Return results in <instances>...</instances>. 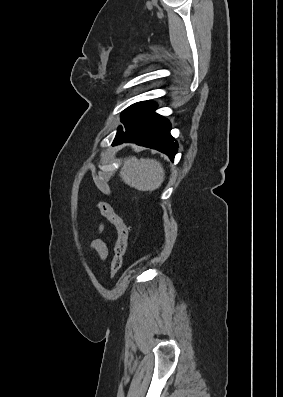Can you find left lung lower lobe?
Segmentation results:
<instances>
[{
    "instance_id": "1",
    "label": "left lung lower lobe",
    "mask_w": 283,
    "mask_h": 397,
    "mask_svg": "<svg viewBox=\"0 0 283 397\" xmlns=\"http://www.w3.org/2000/svg\"><path fill=\"white\" fill-rule=\"evenodd\" d=\"M155 109L156 107L140 117L121 135H116L113 145L134 142L161 151L173 160L178 149L177 141L170 134V122L155 113Z\"/></svg>"
}]
</instances>
